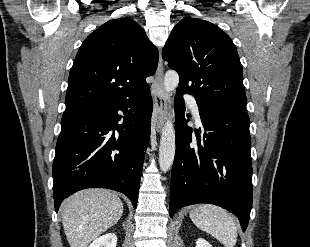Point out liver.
Instances as JSON below:
<instances>
[{
	"instance_id": "6515ba94",
	"label": "liver",
	"mask_w": 310,
	"mask_h": 247,
	"mask_svg": "<svg viewBox=\"0 0 310 247\" xmlns=\"http://www.w3.org/2000/svg\"><path fill=\"white\" fill-rule=\"evenodd\" d=\"M123 203L106 189H85L65 200L62 223L70 247H87L93 240L118 222Z\"/></svg>"
}]
</instances>
